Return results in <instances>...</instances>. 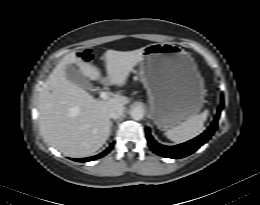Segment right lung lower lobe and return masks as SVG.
<instances>
[{
	"label": "right lung lower lobe",
	"instance_id": "1",
	"mask_svg": "<svg viewBox=\"0 0 260 205\" xmlns=\"http://www.w3.org/2000/svg\"><path fill=\"white\" fill-rule=\"evenodd\" d=\"M112 148H113V144H111L104 152H102V153L99 154V155L92 156V157H88V158H82V159H73V160L78 161V162H88V161H92V160L98 159V158H100V157H103V156L106 155Z\"/></svg>",
	"mask_w": 260,
	"mask_h": 205
}]
</instances>
